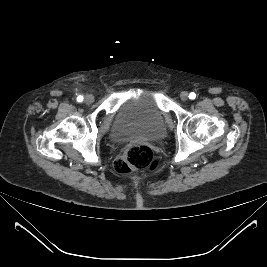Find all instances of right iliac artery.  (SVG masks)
<instances>
[{
	"instance_id": "1",
	"label": "right iliac artery",
	"mask_w": 267,
	"mask_h": 267,
	"mask_svg": "<svg viewBox=\"0 0 267 267\" xmlns=\"http://www.w3.org/2000/svg\"><path fill=\"white\" fill-rule=\"evenodd\" d=\"M82 100H83V96H78V97H77V101H78V102H82Z\"/></svg>"
}]
</instances>
